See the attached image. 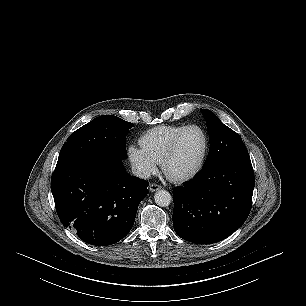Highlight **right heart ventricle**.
Returning <instances> with one entry per match:
<instances>
[{"mask_svg":"<svg viewBox=\"0 0 306 306\" xmlns=\"http://www.w3.org/2000/svg\"><path fill=\"white\" fill-rule=\"evenodd\" d=\"M184 125L158 126L141 135L139 143L158 163H161L176 135Z\"/></svg>","mask_w":306,"mask_h":306,"instance_id":"e07e8e85","label":"right heart ventricle"}]
</instances>
